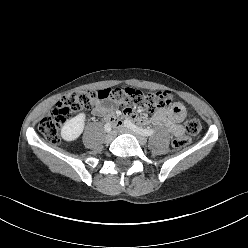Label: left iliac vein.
<instances>
[{
	"label": "left iliac vein",
	"instance_id": "1",
	"mask_svg": "<svg viewBox=\"0 0 248 248\" xmlns=\"http://www.w3.org/2000/svg\"><path fill=\"white\" fill-rule=\"evenodd\" d=\"M120 132L134 135L138 139V141L141 145H145L147 143V139L143 135L135 132L134 130H132L128 127L122 126L120 128Z\"/></svg>",
	"mask_w": 248,
	"mask_h": 248
}]
</instances>
